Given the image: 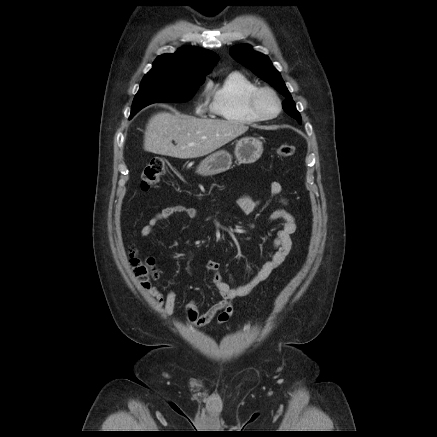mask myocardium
I'll return each mask as SVG.
<instances>
[{
  "label": "myocardium",
  "instance_id": "f54148a6",
  "mask_svg": "<svg viewBox=\"0 0 437 437\" xmlns=\"http://www.w3.org/2000/svg\"><path fill=\"white\" fill-rule=\"evenodd\" d=\"M262 94H270L277 103V111L273 115L264 114L259 106L258 101ZM248 108L251 114L258 120L267 121L276 118L282 111V101L277 92L270 87H258L248 97Z\"/></svg>",
  "mask_w": 437,
  "mask_h": 437
}]
</instances>
